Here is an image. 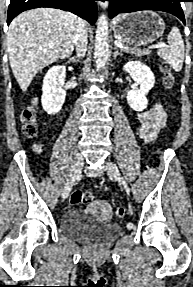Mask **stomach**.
<instances>
[{"instance_id": "stomach-1", "label": "stomach", "mask_w": 193, "mask_h": 287, "mask_svg": "<svg viewBox=\"0 0 193 287\" xmlns=\"http://www.w3.org/2000/svg\"><path fill=\"white\" fill-rule=\"evenodd\" d=\"M116 35L134 46L147 45L162 36L163 19L153 11H139L120 15L113 24Z\"/></svg>"}]
</instances>
